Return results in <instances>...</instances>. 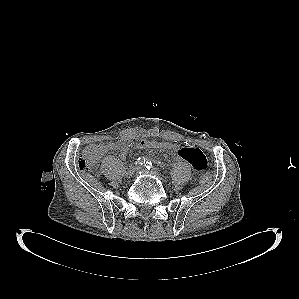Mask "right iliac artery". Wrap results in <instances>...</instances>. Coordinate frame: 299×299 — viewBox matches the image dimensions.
<instances>
[{"label":"right iliac artery","mask_w":299,"mask_h":299,"mask_svg":"<svg viewBox=\"0 0 299 299\" xmlns=\"http://www.w3.org/2000/svg\"><path fill=\"white\" fill-rule=\"evenodd\" d=\"M145 162H146V160H145L144 157H139V158L136 160L135 164H136V165H144Z\"/></svg>","instance_id":"right-iliac-artery-1"}]
</instances>
